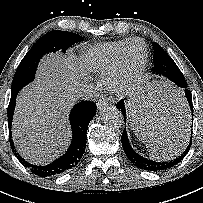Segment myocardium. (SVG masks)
<instances>
[{
	"mask_svg": "<svg viewBox=\"0 0 203 203\" xmlns=\"http://www.w3.org/2000/svg\"><path fill=\"white\" fill-rule=\"evenodd\" d=\"M141 44L144 50V56L141 63L133 70L126 68L127 55L133 44ZM148 61V49L146 44L139 39H131L125 46L119 60L107 75V85L109 89L118 96H126L133 91L139 82Z\"/></svg>",
	"mask_w": 203,
	"mask_h": 203,
	"instance_id": "f54148a6",
	"label": "myocardium"
}]
</instances>
